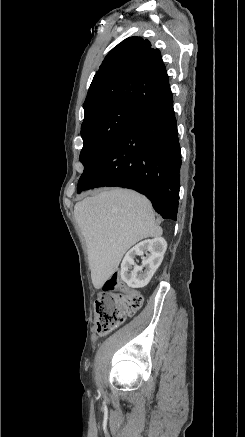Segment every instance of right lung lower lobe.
<instances>
[{"label": "right lung lower lobe", "instance_id": "98d812e1", "mask_svg": "<svg viewBox=\"0 0 245 437\" xmlns=\"http://www.w3.org/2000/svg\"><path fill=\"white\" fill-rule=\"evenodd\" d=\"M181 153L172 94L139 107L78 189L118 186L145 195L164 219L176 220Z\"/></svg>", "mask_w": 245, "mask_h": 437}]
</instances>
